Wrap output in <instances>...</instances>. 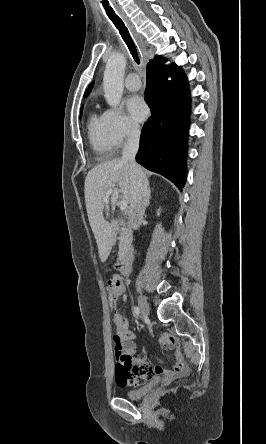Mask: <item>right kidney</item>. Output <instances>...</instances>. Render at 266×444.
Masks as SVG:
<instances>
[{
	"mask_svg": "<svg viewBox=\"0 0 266 444\" xmlns=\"http://www.w3.org/2000/svg\"><path fill=\"white\" fill-rule=\"evenodd\" d=\"M157 215H159V210H158V212H157Z\"/></svg>",
	"mask_w": 266,
	"mask_h": 444,
	"instance_id": "1",
	"label": "right kidney"
}]
</instances>
